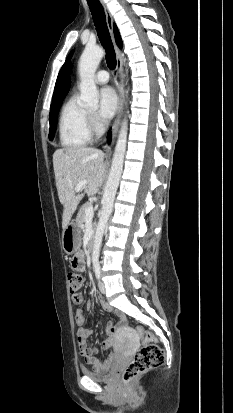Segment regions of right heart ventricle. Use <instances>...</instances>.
<instances>
[{
    "instance_id": "1",
    "label": "right heart ventricle",
    "mask_w": 233,
    "mask_h": 413,
    "mask_svg": "<svg viewBox=\"0 0 233 413\" xmlns=\"http://www.w3.org/2000/svg\"><path fill=\"white\" fill-rule=\"evenodd\" d=\"M58 130L60 144L66 149L82 148L92 140L88 110L80 104L76 95H72L64 103Z\"/></svg>"
}]
</instances>
